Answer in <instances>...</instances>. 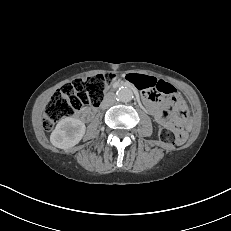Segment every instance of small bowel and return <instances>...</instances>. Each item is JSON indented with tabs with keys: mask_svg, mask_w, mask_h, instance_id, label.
Listing matches in <instances>:
<instances>
[{
	"mask_svg": "<svg viewBox=\"0 0 231 231\" xmlns=\"http://www.w3.org/2000/svg\"><path fill=\"white\" fill-rule=\"evenodd\" d=\"M130 79L132 83L139 89L140 87H143V89H141L142 97L145 101H147V104H145V106L157 122L162 123L165 121V119L163 118V110H170L173 105L184 106L181 97L175 93L172 94V98L170 100L165 101L163 105L151 100L150 91L154 89L158 85V83L163 80H159L154 76L139 74H134L130 76Z\"/></svg>",
	"mask_w": 231,
	"mask_h": 231,
	"instance_id": "c3829d8e",
	"label": "small bowel"
}]
</instances>
